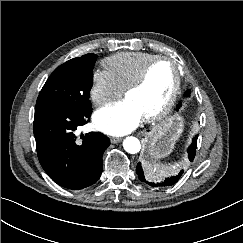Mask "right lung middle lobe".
<instances>
[{
  "label": "right lung middle lobe",
  "instance_id": "obj_1",
  "mask_svg": "<svg viewBox=\"0 0 243 243\" xmlns=\"http://www.w3.org/2000/svg\"><path fill=\"white\" fill-rule=\"evenodd\" d=\"M96 60L97 55L90 53L57 67L44 84L36 106H54L77 112L92 109L89 94Z\"/></svg>",
  "mask_w": 243,
  "mask_h": 243
}]
</instances>
